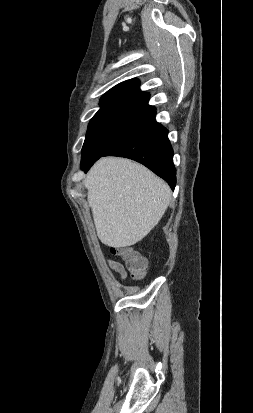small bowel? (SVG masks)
I'll use <instances>...</instances> for the list:
<instances>
[{
  "mask_svg": "<svg viewBox=\"0 0 253 413\" xmlns=\"http://www.w3.org/2000/svg\"><path fill=\"white\" fill-rule=\"evenodd\" d=\"M106 262H107V265L109 266V268L115 274H117L122 279L126 278V276H127L126 270L120 262L115 261V260H111V259H107Z\"/></svg>",
  "mask_w": 253,
  "mask_h": 413,
  "instance_id": "c3829d8e",
  "label": "small bowel"
}]
</instances>
